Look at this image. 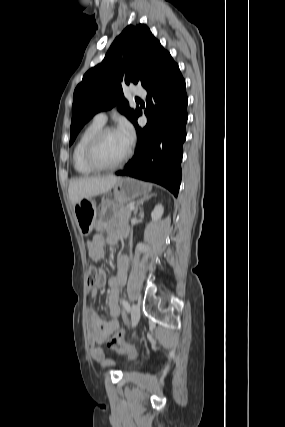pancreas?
Segmentation results:
<instances>
[{
	"label": "pancreas",
	"mask_w": 285,
	"mask_h": 427,
	"mask_svg": "<svg viewBox=\"0 0 285 427\" xmlns=\"http://www.w3.org/2000/svg\"><path fill=\"white\" fill-rule=\"evenodd\" d=\"M131 210L128 208V206H119L116 210V218L119 222L127 223L130 216H131Z\"/></svg>",
	"instance_id": "cf45deb5"
}]
</instances>
